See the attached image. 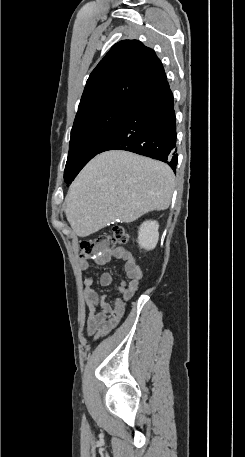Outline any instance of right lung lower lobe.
Returning a JSON list of instances; mask_svg holds the SVG:
<instances>
[{"instance_id": "right-lung-lower-lobe-1", "label": "right lung lower lobe", "mask_w": 245, "mask_h": 457, "mask_svg": "<svg viewBox=\"0 0 245 457\" xmlns=\"http://www.w3.org/2000/svg\"><path fill=\"white\" fill-rule=\"evenodd\" d=\"M168 82L150 89L129 108L121 124L101 148L126 150L177 166L176 116Z\"/></svg>"}]
</instances>
